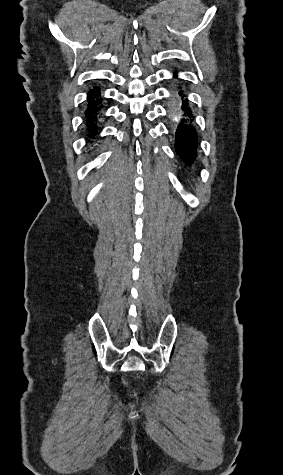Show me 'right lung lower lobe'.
<instances>
[{
	"mask_svg": "<svg viewBox=\"0 0 283 475\" xmlns=\"http://www.w3.org/2000/svg\"><path fill=\"white\" fill-rule=\"evenodd\" d=\"M104 100L99 87L94 86L87 94L83 110V126L89 144L93 143L99 132V124L103 118Z\"/></svg>",
	"mask_w": 283,
	"mask_h": 475,
	"instance_id": "1",
	"label": "right lung lower lobe"
}]
</instances>
